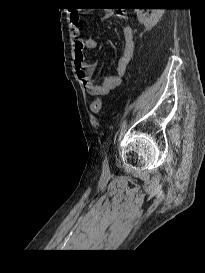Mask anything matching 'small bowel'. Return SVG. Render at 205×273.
<instances>
[{
    "label": "small bowel",
    "instance_id": "1",
    "mask_svg": "<svg viewBox=\"0 0 205 273\" xmlns=\"http://www.w3.org/2000/svg\"><path fill=\"white\" fill-rule=\"evenodd\" d=\"M121 18L127 20L128 16L126 14H121ZM80 22L81 16L78 13H72L70 15V23L74 30V65L77 75L90 95H105L121 83L127 65L132 58L134 51L133 30L130 26L123 27L122 35L124 39V49L117 61L115 72L103 77L101 82L97 84L93 81L96 64L93 62H84V50L95 49L97 42L94 39H82L80 37L78 29Z\"/></svg>",
    "mask_w": 205,
    "mask_h": 273
}]
</instances>
